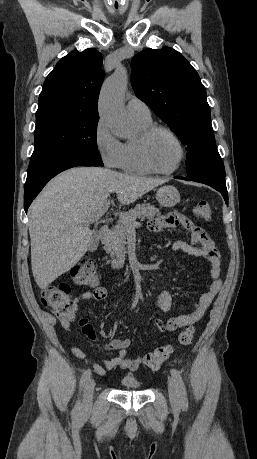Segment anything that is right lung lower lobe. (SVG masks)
Returning a JSON list of instances; mask_svg holds the SVG:
<instances>
[{"mask_svg":"<svg viewBox=\"0 0 257 459\" xmlns=\"http://www.w3.org/2000/svg\"><path fill=\"white\" fill-rule=\"evenodd\" d=\"M76 166L103 165L88 156L77 153H57L31 159L24 190L25 212L27 213L33 199L51 178L66 169Z\"/></svg>","mask_w":257,"mask_h":459,"instance_id":"obj_1","label":"right lung lower lobe"}]
</instances>
